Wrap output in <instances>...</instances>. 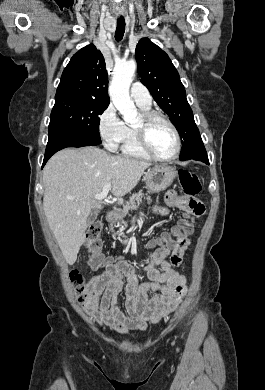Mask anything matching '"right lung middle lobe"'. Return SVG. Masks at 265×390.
I'll use <instances>...</instances> for the list:
<instances>
[{
  "label": "right lung middle lobe",
  "instance_id": "1",
  "mask_svg": "<svg viewBox=\"0 0 265 390\" xmlns=\"http://www.w3.org/2000/svg\"><path fill=\"white\" fill-rule=\"evenodd\" d=\"M108 105L81 99L55 101L50 115L49 136L72 134L100 144L99 115Z\"/></svg>",
  "mask_w": 265,
  "mask_h": 390
}]
</instances>
